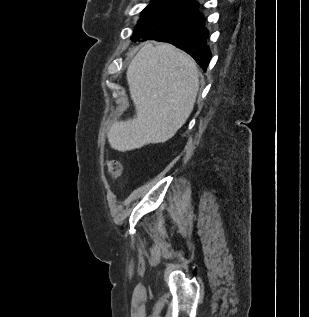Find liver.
Returning <instances> with one entry per match:
<instances>
[{
  "instance_id": "obj_1",
  "label": "liver",
  "mask_w": 309,
  "mask_h": 317,
  "mask_svg": "<svg viewBox=\"0 0 309 317\" xmlns=\"http://www.w3.org/2000/svg\"><path fill=\"white\" fill-rule=\"evenodd\" d=\"M126 78L136 115L110 127V146L125 152L171 139L194 108L199 89L195 61L171 44L148 42L132 59Z\"/></svg>"
}]
</instances>
